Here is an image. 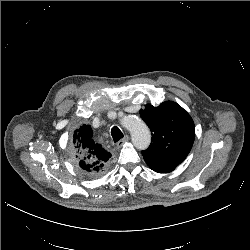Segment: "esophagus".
Instances as JSON below:
<instances>
[{
    "label": "esophagus",
    "instance_id": "esophagus-1",
    "mask_svg": "<svg viewBox=\"0 0 250 250\" xmlns=\"http://www.w3.org/2000/svg\"><path fill=\"white\" fill-rule=\"evenodd\" d=\"M129 136L126 135L123 139L117 142V147L121 148L126 142H128Z\"/></svg>",
    "mask_w": 250,
    "mask_h": 250
}]
</instances>
